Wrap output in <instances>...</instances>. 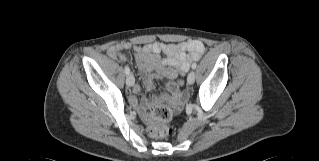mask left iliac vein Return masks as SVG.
Instances as JSON below:
<instances>
[{"label": "left iliac vein", "mask_w": 319, "mask_h": 161, "mask_svg": "<svg viewBox=\"0 0 319 161\" xmlns=\"http://www.w3.org/2000/svg\"><path fill=\"white\" fill-rule=\"evenodd\" d=\"M195 81V72L194 71H190L188 76H187V83L189 85H192Z\"/></svg>", "instance_id": "1"}]
</instances>
